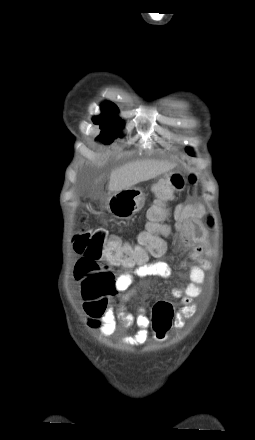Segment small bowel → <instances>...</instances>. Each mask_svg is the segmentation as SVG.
<instances>
[{
    "label": "small bowel",
    "mask_w": 255,
    "mask_h": 440,
    "mask_svg": "<svg viewBox=\"0 0 255 440\" xmlns=\"http://www.w3.org/2000/svg\"><path fill=\"white\" fill-rule=\"evenodd\" d=\"M204 212V206L201 203L177 204L173 210L175 223L172 230L179 235L181 245L190 249L189 259L197 263L188 266L190 282L187 285H180L172 291V295L180 301V307L174 316V328L177 330L182 329L186 320L195 314L196 305L193 300L201 294V285L205 281V271L210 268V262L204 257V255L210 253L204 247L206 231L201 222ZM169 230L170 228L164 229L165 232H169ZM163 246L162 254L166 250L164 243ZM170 273V268L165 262L150 261L146 256L134 269L117 277L115 289L123 292L120 298L121 305L117 312L112 308H108L102 316L90 317L88 325L98 329L103 336L114 334L119 325L124 328L135 325L137 331L133 335L123 337L122 341L125 345L132 347L143 345L149 339L150 318L148 313L144 309H140L134 315L125 308L124 303L129 300L134 292L132 285L136 278L168 277Z\"/></svg>",
    "instance_id": "small-bowel-1"
}]
</instances>
